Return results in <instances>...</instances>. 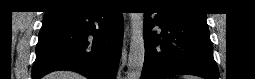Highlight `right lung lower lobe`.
Masks as SVG:
<instances>
[{
  "label": "right lung lower lobe",
  "mask_w": 255,
  "mask_h": 79,
  "mask_svg": "<svg viewBox=\"0 0 255 79\" xmlns=\"http://www.w3.org/2000/svg\"><path fill=\"white\" fill-rule=\"evenodd\" d=\"M123 17L105 8L68 9L45 15L32 79L72 70L89 79H115Z\"/></svg>",
  "instance_id": "right-lung-lower-lobe-1"
}]
</instances>
